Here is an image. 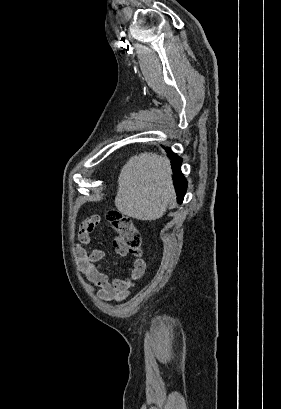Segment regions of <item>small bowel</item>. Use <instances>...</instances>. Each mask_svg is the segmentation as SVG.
<instances>
[{"instance_id":"obj_1","label":"small bowel","mask_w":281,"mask_h":409,"mask_svg":"<svg viewBox=\"0 0 281 409\" xmlns=\"http://www.w3.org/2000/svg\"><path fill=\"white\" fill-rule=\"evenodd\" d=\"M103 217L101 215H88L86 222H80L79 238L83 244L91 242L90 235H98L100 229L95 224H101ZM114 252L125 253V249L120 239H115L112 246ZM74 254L78 267L85 271L87 278L92 285L97 286V296L103 301H122L130 292L133 281L139 280V275H143L146 270V263L138 258L134 261L131 274L122 278H110L96 266L103 260L104 252L101 249L86 250L82 245L74 246ZM137 274H134V273Z\"/></svg>"}]
</instances>
